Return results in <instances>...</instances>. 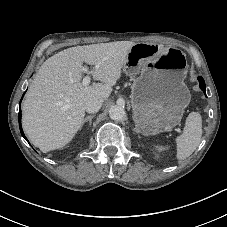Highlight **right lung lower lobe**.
Here are the masks:
<instances>
[{"label": "right lung lower lobe", "instance_id": "98d812e1", "mask_svg": "<svg viewBox=\"0 0 227 227\" xmlns=\"http://www.w3.org/2000/svg\"><path fill=\"white\" fill-rule=\"evenodd\" d=\"M19 127H20V132H21L22 136L27 140V138L25 137V135L23 133L22 127H21V108L20 107H19Z\"/></svg>", "mask_w": 227, "mask_h": 227}]
</instances>
